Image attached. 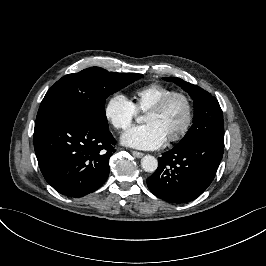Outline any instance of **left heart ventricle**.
<instances>
[{"mask_svg":"<svg viewBox=\"0 0 266 266\" xmlns=\"http://www.w3.org/2000/svg\"><path fill=\"white\" fill-rule=\"evenodd\" d=\"M188 115L186 102L182 98H175L163 112L149 111L145 114L147 123L156 124L166 138L174 136L183 126Z\"/></svg>","mask_w":266,"mask_h":266,"instance_id":"b2bd125f","label":"left heart ventricle"}]
</instances>
